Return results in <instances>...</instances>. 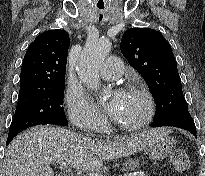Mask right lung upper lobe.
I'll return each instance as SVG.
<instances>
[{
  "label": "right lung upper lobe",
  "instance_id": "cb5924a9",
  "mask_svg": "<svg viewBox=\"0 0 205 176\" xmlns=\"http://www.w3.org/2000/svg\"><path fill=\"white\" fill-rule=\"evenodd\" d=\"M69 35L64 30L41 33L25 54L19 95L65 83Z\"/></svg>",
  "mask_w": 205,
  "mask_h": 176
}]
</instances>
